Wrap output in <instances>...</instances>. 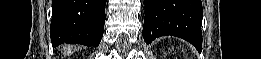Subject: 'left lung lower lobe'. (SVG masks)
Segmentation results:
<instances>
[{"label": "left lung lower lobe", "mask_w": 261, "mask_h": 59, "mask_svg": "<svg viewBox=\"0 0 261 59\" xmlns=\"http://www.w3.org/2000/svg\"><path fill=\"white\" fill-rule=\"evenodd\" d=\"M201 0H145L142 35L151 43L160 36L173 35L202 49Z\"/></svg>", "instance_id": "1"}]
</instances>
